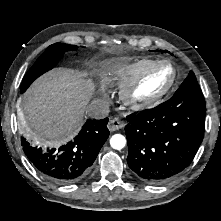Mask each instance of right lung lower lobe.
I'll return each instance as SVG.
<instances>
[{
  "label": "right lung lower lobe",
  "instance_id": "1",
  "mask_svg": "<svg viewBox=\"0 0 221 221\" xmlns=\"http://www.w3.org/2000/svg\"><path fill=\"white\" fill-rule=\"evenodd\" d=\"M108 118L87 120L79 134L58 148H42L21 137L24 153L43 176L60 184L81 180L90 171L101 147L109 137Z\"/></svg>",
  "mask_w": 221,
  "mask_h": 221
}]
</instances>
